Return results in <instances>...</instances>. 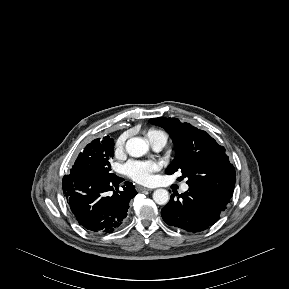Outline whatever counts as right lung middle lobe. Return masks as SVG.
<instances>
[{
  "label": "right lung middle lobe",
  "mask_w": 289,
  "mask_h": 289,
  "mask_svg": "<svg viewBox=\"0 0 289 289\" xmlns=\"http://www.w3.org/2000/svg\"><path fill=\"white\" fill-rule=\"evenodd\" d=\"M114 156V140L109 136L93 140L87 144L83 152L77 157L73 170L80 171L95 178H108L110 172V158Z\"/></svg>",
  "instance_id": "obj_1"
}]
</instances>
